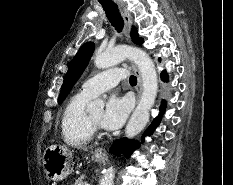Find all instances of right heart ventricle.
Segmentation results:
<instances>
[{
  "label": "right heart ventricle",
  "mask_w": 233,
  "mask_h": 185,
  "mask_svg": "<svg viewBox=\"0 0 233 185\" xmlns=\"http://www.w3.org/2000/svg\"><path fill=\"white\" fill-rule=\"evenodd\" d=\"M90 97L77 93L70 98L61 117V131L65 143L72 147L87 145L93 136L85 107Z\"/></svg>",
  "instance_id": "1"
}]
</instances>
